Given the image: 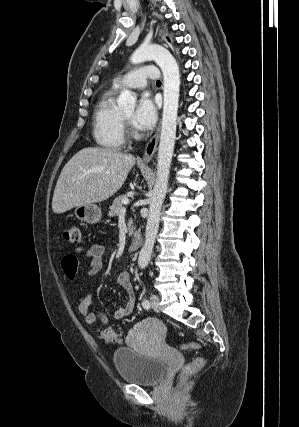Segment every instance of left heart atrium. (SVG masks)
<instances>
[{
    "label": "left heart atrium",
    "instance_id": "39dd6f15",
    "mask_svg": "<svg viewBox=\"0 0 299 427\" xmlns=\"http://www.w3.org/2000/svg\"><path fill=\"white\" fill-rule=\"evenodd\" d=\"M157 120V108L149 96L139 99L136 110L132 116L133 125L142 131L151 129Z\"/></svg>",
    "mask_w": 299,
    "mask_h": 427
}]
</instances>
